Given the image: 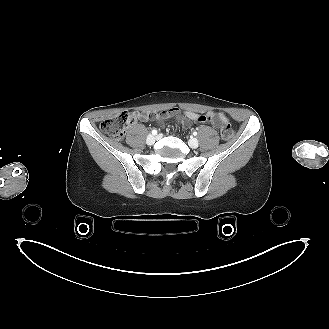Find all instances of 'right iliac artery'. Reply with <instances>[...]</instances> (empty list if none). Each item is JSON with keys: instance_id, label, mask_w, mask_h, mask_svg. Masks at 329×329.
<instances>
[{"instance_id": "right-iliac-artery-1", "label": "right iliac artery", "mask_w": 329, "mask_h": 329, "mask_svg": "<svg viewBox=\"0 0 329 329\" xmlns=\"http://www.w3.org/2000/svg\"><path fill=\"white\" fill-rule=\"evenodd\" d=\"M151 133H152V135H157L158 132L156 129H153Z\"/></svg>"}]
</instances>
